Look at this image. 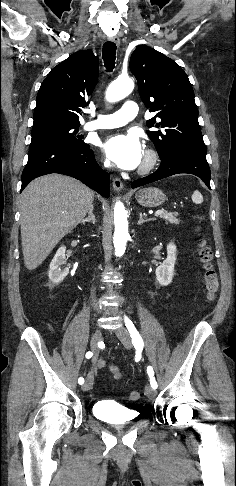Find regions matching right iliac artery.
<instances>
[{"instance_id":"obj_1","label":"right iliac artery","mask_w":236,"mask_h":486,"mask_svg":"<svg viewBox=\"0 0 236 486\" xmlns=\"http://www.w3.org/2000/svg\"><path fill=\"white\" fill-rule=\"evenodd\" d=\"M92 355H93V353H92L91 351H89V352H87V353H86V358H87V359H89V358H91V357H92ZM78 383H79V384H83V383H84V378L80 377V378L78 379Z\"/></svg>"}]
</instances>
